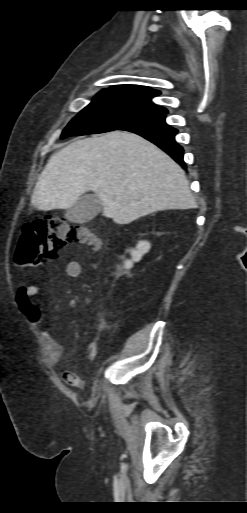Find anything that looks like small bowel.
I'll use <instances>...</instances> for the list:
<instances>
[{"mask_svg":"<svg viewBox=\"0 0 247 513\" xmlns=\"http://www.w3.org/2000/svg\"><path fill=\"white\" fill-rule=\"evenodd\" d=\"M65 275L70 278H78L81 274V264L79 261L70 260L65 265ZM39 292L37 286H24L19 289L16 295L18 307L26 319L38 326H41L44 320L43 312L32 302V298ZM43 340L47 346V360L51 365H55L60 361L64 354V349L51 335L45 331H41ZM97 351L93 345H88L85 351V358L92 361L96 358ZM65 382L68 385L79 387L81 380L74 371H66L63 374Z\"/></svg>","mask_w":247,"mask_h":513,"instance_id":"c3829d8e","label":"small bowel"}]
</instances>
